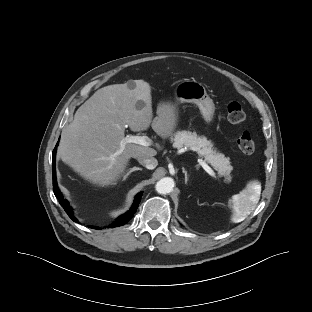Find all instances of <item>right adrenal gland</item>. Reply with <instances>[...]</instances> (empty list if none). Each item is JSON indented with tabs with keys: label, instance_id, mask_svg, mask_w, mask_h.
Masks as SVG:
<instances>
[{
	"label": "right adrenal gland",
	"instance_id": "1",
	"mask_svg": "<svg viewBox=\"0 0 312 312\" xmlns=\"http://www.w3.org/2000/svg\"><path fill=\"white\" fill-rule=\"evenodd\" d=\"M138 170L142 171V168H139V167H133V168H131V169L126 173V175L123 177V180H126V178H127L132 172L138 171Z\"/></svg>",
	"mask_w": 312,
	"mask_h": 312
}]
</instances>
